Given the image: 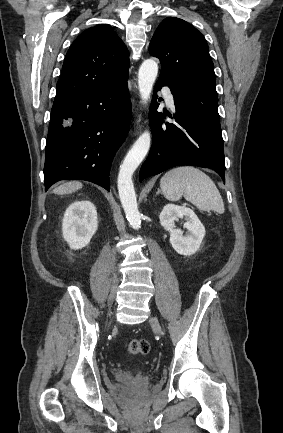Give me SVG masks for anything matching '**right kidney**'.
<instances>
[{"instance_id":"1","label":"right kidney","mask_w":283,"mask_h":433,"mask_svg":"<svg viewBox=\"0 0 283 433\" xmlns=\"http://www.w3.org/2000/svg\"><path fill=\"white\" fill-rule=\"evenodd\" d=\"M97 228V210L92 202L75 201L66 209L62 233L71 249L78 250L87 246Z\"/></svg>"}]
</instances>
